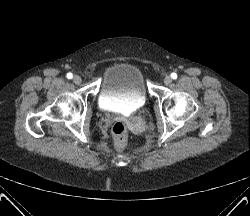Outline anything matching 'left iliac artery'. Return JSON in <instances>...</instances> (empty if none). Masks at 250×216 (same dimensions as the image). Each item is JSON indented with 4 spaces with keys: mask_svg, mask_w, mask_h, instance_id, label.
Returning <instances> with one entry per match:
<instances>
[{
    "mask_svg": "<svg viewBox=\"0 0 250 216\" xmlns=\"http://www.w3.org/2000/svg\"><path fill=\"white\" fill-rule=\"evenodd\" d=\"M171 77H172L173 79H176V78H177V74H176V73H172V74H171Z\"/></svg>",
    "mask_w": 250,
    "mask_h": 216,
    "instance_id": "left-iliac-artery-1",
    "label": "left iliac artery"
}]
</instances>
